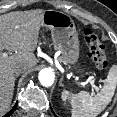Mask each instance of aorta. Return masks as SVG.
Returning a JSON list of instances; mask_svg holds the SVG:
<instances>
[{
  "label": "aorta",
  "instance_id": "aorta-1",
  "mask_svg": "<svg viewBox=\"0 0 117 117\" xmlns=\"http://www.w3.org/2000/svg\"><path fill=\"white\" fill-rule=\"evenodd\" d=\"M38 78L41 85L44 87H51L54 82V74L49 70H42Z\"/></svg>",
  "mask_w": 117,
  "mask_h": 117
}]
</instances>
